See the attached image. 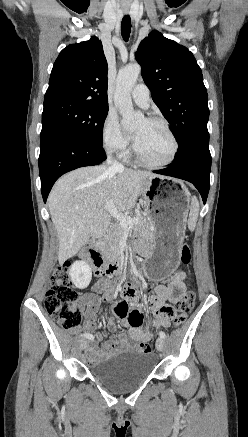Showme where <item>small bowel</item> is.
Here are the masks:
<instances>
[{
    "instance_id": "1",
    "label": "small bowel",
    "mask_w": 248,
    "mask_h": 437,
    "mask_svg": "<svg viewBox=\"0 0 248 437\" xmlns=\"http://www.w3.org/2000/svg\"><path fill=\"white\" fill-rule=\"evenodd\" d=\"M185 279L186 273L179 270L168 284H161L155 287L154 294L150 298L153 313L152 325L155 329L169 327L174 315V311L169 303L176 302L184 295L186 291ZM114 290L115 287L111 283L106 280H100L94 286V293L84 296L81 303L89 306L92 313H94L101 303L99 295H102L103 300H108L110 295L114 293ZM123 295L124 299L118 301L114 307V312L123 323L128 326L129 332L116 333V322L110 319L108 321V327L114 335L104 343L101 348H97L94 344L88 347L87 358L91 364L104 361L125 349H132L136 344L147 342L153 337L149 326L143 324V316L140 310L132 308L138 301V294L134 286L130 285L126 287ZM93 327L94 324L92 320H90L86 325V329L91 330ZM102 339L103 334H96V341H101Z\"/></svg>"
}]
</instances>
